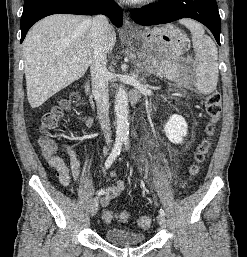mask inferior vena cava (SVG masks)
<instances>
[{
    "instance_id": "1",
    "label": "inferior vena cava",
    "mask_w": 247,
    "mask_h": 257,
    "mask_svg": "<svg viewBox=\"0 0 247 257\" xmlns=\"http://www.w3.org/2000/svg\"><path fill=\"white\" fill-rule=\"evenodd\" d=\"M108 29L109 22L104 15H96L92 19L93 57L90 63L92 95L96 101L99 123L107 145L112 142L109 120V72L106 68Z\"/></svg>"
}]
</instances>
